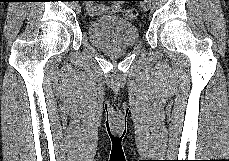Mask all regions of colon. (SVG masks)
<instances>
[{
  "instance_id": "1",
  "label": "colon",
  "mask_w": 229,
  "mask_h": 161,
  "mask_svg": "<svg viewBox=\"0 0 229 161\" xmlns=\"http://www.w3.org/2000/svg\"><path fill=\"white\" fill-rule=\"evenodd\" d=\"M90 1H94V0H90ZM137 16H138V12L134 8H128L124 11V17L128 20H134L137 18Z\"/></svg>"
}]
</instances>
